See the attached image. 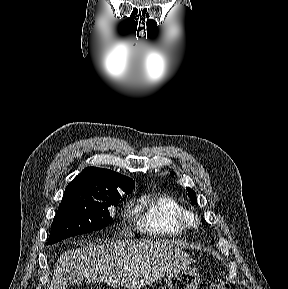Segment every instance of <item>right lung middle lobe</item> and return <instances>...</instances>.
Returning <instances> with one entry per match:
<instances>
[{"label": "right lung middle lobe", "instance_id": "1", "mask_svg": "<svg viewBox=\"0 0 288 289\" xmlns=\"http://www.w3.org/2000/svg\"><path fill=\"white\" fill-rule=\"evenodd\" d=\"M132 190L125 191L129 194ZM121 199L119 191L96 195L64 194L51 227L47 244L73 235L100 230L112 221L108 208Z\"/></svg>", "mask_w": 288, "mask_h": 289}]
</instances>
